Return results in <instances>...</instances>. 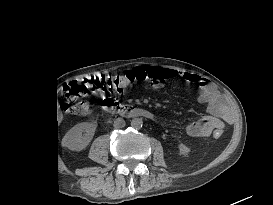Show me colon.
Here are the masks:
<instances>
[{"label": "colon", "instance_id": "colon-1", "mask_svg": "<svg viewBox=\"0 0 273 205\" xmlns=\"http://www.w3.org/2000/svg\"><path fill=\"white\" fill-rule=\"evenodd\" d=\"M164 80L165 79L154 74L148 75V69L145 68H136L125 74L96 76L88 80L83 86L76 88L66 100L64 108L68 113L73 115H81L87 112V103L79 100L78 96H76L79 91L102 90L110 92H123L128 86L134 84L135 82H164ZM221 136V130L214 131L215 138H219Z\"/></svg>", "mask_w": 273, "mask_h": 205}]
</instances>
